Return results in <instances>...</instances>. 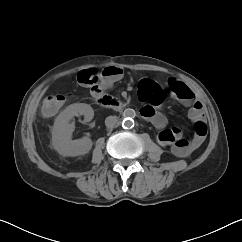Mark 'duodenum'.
Masks as SVG:
<instances>
[{"label": "duodenum", "instance_id": "duodenum-1", "mask_svg": "<svg viewBox=\"0 0 242 242\" xmlns=\"http://www.w3.org/2000/svg\"><path fill=\"white\" fill-rule=\"evenodd\" d=\"M93 99L97 105L103 108H109L113 110H121L124 108L122 101L104 94L94 95Z\"/></svg>", "mask_w": 242, "mask_h": 242}]
</instances>
